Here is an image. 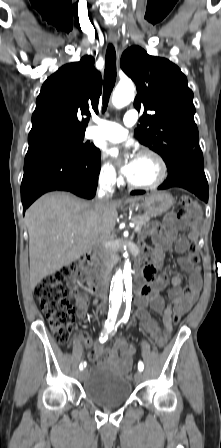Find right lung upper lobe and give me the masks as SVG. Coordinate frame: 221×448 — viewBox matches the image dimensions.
<instances>
[{
	"label": "right lung upper lobe",
	"mask_w": 221,
	"mask_h": 448,
	"mask_svg": "<svg viewBox=\"0 0 221 448\" xmlns=\"http://www.w3.org/2000/svg\"><path fill=\"white\" fill-rule=\"evenodd\" d=\"M102 77L94 67V58L59 68L42 85L32 115L28 135L29 148L66 137L84 135L90 111H98Z\"/></svg>",
	"instance_id": "1"
}]
</instances>
